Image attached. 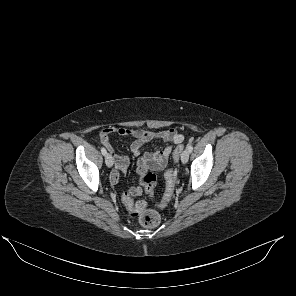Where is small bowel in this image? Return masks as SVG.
<instances>
[{
	"label": "small bowel",
	"mask_w": 296,
	"mask_h": 296,
	"mask_svg": "<svg viewBox=\"0 0 296 296\" xmlns=\"http://www.w3.org/2000/svg\"><path fill=\"white\" fill-rule=\"evenodd\" d=\"M124 136L134 139L131 144V152L138 157L137 160V173L142 177L147 171H161L167 164L169 156L172 152L173 146L180 144L184 136L179 133L175 128H169L166 130L154 132L145 129H128V128H114L106 127L99 133L100 143L110 152H114V148L111 144L112 136ZM155 141L170 142L164 148H154L151 150L145 149L146 143H152ZM115 169L111 173L110 181L113 185L118 184L121 175L127 170L129 166V158L123 155H114ZM141 193L140 187L129 188L125 195L135 197Z\"/></svg>",
	"instance_id": "small-bowel-1"
}]
</instances>
